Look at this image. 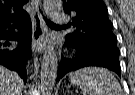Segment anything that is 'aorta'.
Returning <instances> with one entry per match:
<instances>
[{"mask_svg":"<svg viewBox=\"0 0 135 95\" xmlns=\"http://www.w3.org/2000/svg\"><path fill=\"white\" fill-rule=\"evenodd\" d=\"M44 10L47 15H52L62 7V0H44ZM57 54L54 46L48 45L43 54L40 74V89L42 95H52L57 77Z\"/></svg>","mask_w":135,"mask_h":95,"instance_id":"762f6f07","label":"aorta"}]
</instances>
